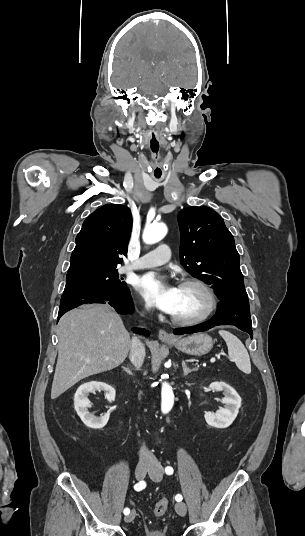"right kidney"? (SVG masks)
<instances>
[{"mask_svg": "<svg viewBox=\"0 0 305 536\" xmlns=\"http://www.w3.org/2000/svg\"><path fill=\"white\" fill-rule=\"evenodd\" d=\"M94 390H104V392H106V400H108V402H114L115 390L112 386H108V384H104V382H87V384H82L75 394V410L82 422H84L88 428H104L109 420L110 412H107V414L101 416V418H96V416H93V414L88 412V408H91V406L87 396L89 392H94Z\"/></svg>", "mask_w": 305, "mask_h": 536, "instance_id": "right-kidney-1", "label": "right kidney"}]
</instances>
